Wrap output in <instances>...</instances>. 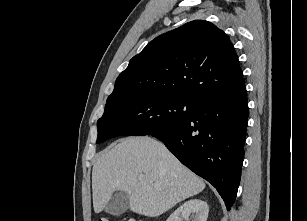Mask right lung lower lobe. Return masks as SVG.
Here are the masks:
<instances>
[{
  "mask_svg": "<svg viewBox=\"0 0 307 221\" xmlns=\"http://www.w3.org/2000/svg\"><path fill=\"white\" fill-rule=\"evenodd\" d=\"M247 122L244 87L237 93L198 102L188 119L151 135L163 141L182 164L210 182L229 210L240 183Z\"/></svg>",
  "mask_w": 307,
  "mask_h": 221,
  "instance_id": "1",
  "label": "right lung lower lobe"
}]
</instances>
